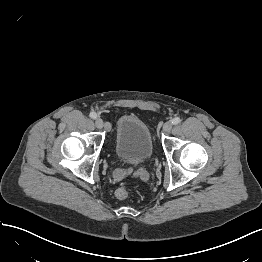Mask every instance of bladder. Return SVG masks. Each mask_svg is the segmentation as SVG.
Returning a JSON list of instances; mask_svg holds the SVG:
<instances>
[{
    "label": "bladder",
    "mask_w": 262,
    "mask_h": 262,
    "mask_svg": "<svg viewBox=\"0 0 262 262\" xmlns=\"http://www.w3.org/2000/svg\"><path fill=\"white\" fill-rule=\"evenodd\" d=\"M115 148L125 163L138 164L153 152V140L148 126L135 116H123L116 125Z\"/></svg>",
    "instance_id": "31cf9c89"
}]
</instances>
